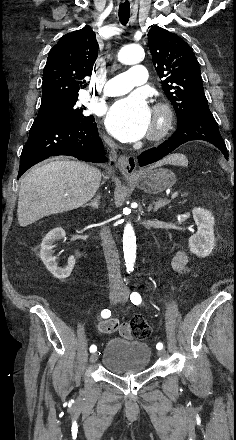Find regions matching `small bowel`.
Instances as JSON below:
<instances>
[{"label":"small bowel","mask_w":236,"mask_h":440,"mask_svg":"<svg viewBox=\"0 0 236 440\" xmlns=\"http://www.w3.org/2000/svg\"><path fill=\"white\" fill-rule=\"evenodd\" d=\"M172 267L178 273H186L189 271V257L179 250L172 259ZM99 328L103 333H118V337L123 342H130L133 338L130 321H118L116 319L104 320L99 322Z\"/></svg>","instance_id":"c3829d8e"}]
</instances>
